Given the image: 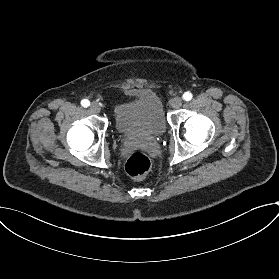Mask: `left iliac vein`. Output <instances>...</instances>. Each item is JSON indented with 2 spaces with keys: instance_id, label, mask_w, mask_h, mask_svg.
I'll use <instances>...</instances> for the list:
<instances>
[{
  "instance_id": "obj_1",
  "label": "left iliac vein",
  "mask_w": 279,
  "mask_h": 279,
  "mask_svg": "<svg viewBox=\"0 0 279 279\" xmlns=\"http://www.w3.org/2000/svg\"><path fill=\"white\" fill-rule=\"evenodd\" d=\"M182 99L181 97H174L171 101H170V106L174 109H179L182 106Z\"/></svg>"
}]
</instances>
